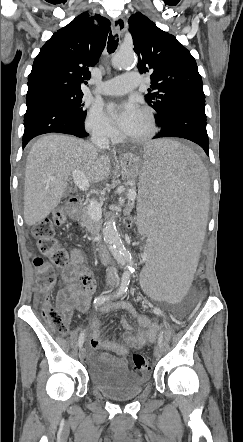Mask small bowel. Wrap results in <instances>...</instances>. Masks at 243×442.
Returning <instances> with one entry per match:
<instances>
[{"label":"small bowel","mask_w":243,"mask_h":442,"mask_svg":"<svg viewBox=\"0 0 243 442\" xmlns=\"http://www.w3.org/2000/svg\"><path fill=\"white\" fill-rule=\"evenodd\" d=\"M62 278L65 286L58 292L56 303L57 307L65 312L67 321H69L73 309L87 312L91 296L95 291V279L88 266L87 257L82 250L77 248L71 250L69 263L62 271ZM113 309H124L131 317L136 319L139 327L136 334L133 333L132 324L122 318L120 323L125 330L123 343L102 339V322L99 318H94L91 323L93 333L89 340V345L93 349V357L94 351L107 350L119 355L118 358L114 359H116L120 366H127L126 356L129 353V349H140L147 342H152L155 339L158 327L148 318L137 316L134 308L129 303L106 304L101 308V312L105 314ZM104 355L111 357L109 353Z\"/></svg>","instance_id":"obj_1"}]
</instances>
